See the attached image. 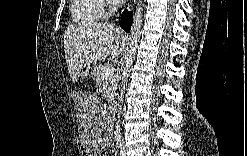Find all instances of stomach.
<instances>
[{"label":"stomach","mask_w":247,"mask_h":156,"mask_svg":"<svg viewBox=\"0 0 247 156\" xmlns=\"http://www.w3.org/2000/svg\"><path fill=\"white\" fill-rule=\"evenodd\" d=\"M89 74L91 75L92 78L95 79L97 77V67L93 66L92 68H90L89 64H85L82 67L81 76L87 77Z\"/></svg>","instance_id":"stomach-1"}]
</instances>
